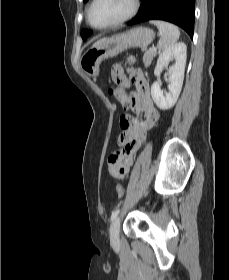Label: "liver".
Listing matches in <instances>:
<instances>
[{
    "instance_id": "liver-1",
    "label": "liver",
    "mask_w": 229,
    "mask_h": 280,
    "mask_svg": "<svg viewBox=\"0 0 229 280\" xmlns=\"http://www.w3.org/2000/svg\"><path fill=\"white\" fill-rule=\"evenodd\" d=\"M105 40H106V38H102V39L98 40L96 43H94L93 46H96V45L104 42Z\"/></svg>"
}]
</instances>
